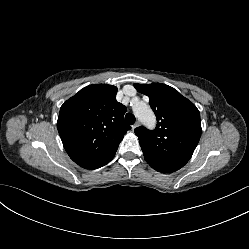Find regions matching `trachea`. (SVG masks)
<instances>
[{
    "label": "trachea",
    "mask_w": 249,
    "mask_h": 249,
    "mask_svg": "<svg viewBox=\"0 0 249 249\" xmlns=\"http://www.w3.org/2000/svg\"><path fill=\"white\" fill-rule=\"evenodd\" d=\"M125 120L129 125H133L135 123V116L132 113H127L125 115Z\"/></svg>",
    "instance_id": "trachea-1"
}]
</instances>
